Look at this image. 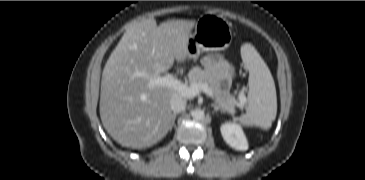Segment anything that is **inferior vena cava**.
<instances>
[{"mask_svg": "<svg viewBox=\"0 0 365 180\" xmlns=\"http://www.w3.org/2000/svg\"><path fill=\"white\" fill-rule=\"evenodd\" d=\"M186 99L183 98L181 95H173L170 100V107L174 113H179L184 111L186 108Z\"/></svg>", "mask_w": 365, "mask_h": 180, "instance_id": "inferior-vena-cava-1", "label": "inferior vena cava"}]
</instances>
